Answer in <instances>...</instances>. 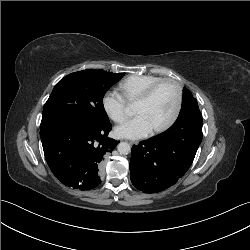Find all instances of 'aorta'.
<instances>
[{
    "mask_svg": "<svg viewBox=\"0 0 250 250\" xmlns=\"http://www.w3.org/2000/svg\"><path fill=\"white\" fill-rule=\"evenodd\" d=\"M117 150L121 155H127L131 151V146L127 142H120L117 146Z\"/></svg>",
    "mask_w": 250,
    "mask_h": 250,
    "instance_id": "obj_1",
    "label": "aorta"
}]
</instances>
